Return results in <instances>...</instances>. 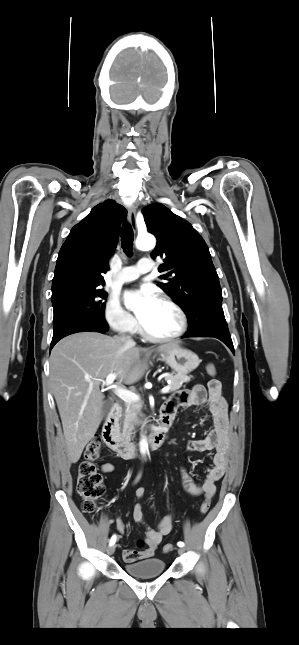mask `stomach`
Here are the masks:
<instances>
[{"label":"stomach","instance_id":"0dacf381","mask_svg":"<svg viewBox=\"0 0 299 645\" xmlns=\"http://www.w3.org/2000/svg\"><path fill=\"white\" fill-rule=\"evenodd\" d=\"M161 358L178 374L185 375L195 370L200 363L197 354L181 347L162 353Z\"/></svg>","mask_w":299,"mask_h":645}]
</instances>
